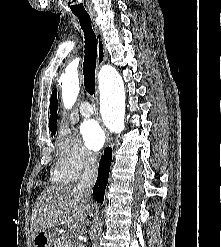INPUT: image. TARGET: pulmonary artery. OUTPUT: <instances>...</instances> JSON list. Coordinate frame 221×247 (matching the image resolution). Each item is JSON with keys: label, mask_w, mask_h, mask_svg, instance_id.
Returning <instances> with one entry per match:
<instances>
[{"label": "pulmonary artery", "mask_w": 221, "mask_h": 247, "mask_svg": "<svg viewBox=\"0 0 221 247\" xmlns=\"http://www.w3.org/2000/svg\"><path fill=\"white\" fill-rule=\"evenodd\" d=\"M80 113L84 117H90L93 114V109L90 106L89 102L84 101L80 106Z\"/></svg>", "instance_id": "pulmonary-artery-1"}]
</instances>
